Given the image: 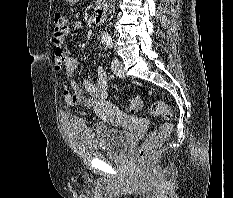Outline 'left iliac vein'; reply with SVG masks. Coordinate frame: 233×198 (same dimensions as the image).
Segmentation results:
<instances>
[{"mask_svg": "<svg viewBox=\"0 0 233 198\" xmlns=\"http://www.w3.org/2000/svg\"><path fill=\"white\" fill-rule=\"evenodd\" d=\"M111 68H112L113 73H114L117 77L122 78V77L125 76L123 64H122L121 61H119L117 58H114V59H113Z\"/></svg>", "mask_w": 233, "mask_h": 198, "instance_id": "1", "label": "left iliac vein"}]
</instances>
